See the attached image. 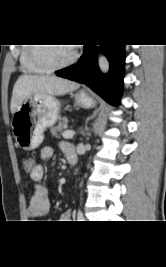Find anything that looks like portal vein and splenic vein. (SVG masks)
<instances>
[{
    "label": "portal vein and splenic vein",
    "mask_w": 166,
    "mask_h": 267,
    "mask_svg": "<svg viewBox=\"0 0 166 267\" xmlns=\"http://www.w3.org/2000/svg\"><path fill=\"white\" fill-rule=\"evenodd\" d=\"M74 134H75V132H73V131H65V132H63L62 136L65 139H70L74 136Z\"/></svg>",
    "instance_id": "obj_1"
}]
</instances>
